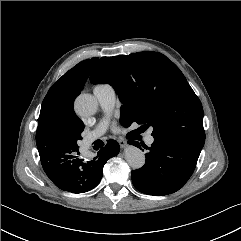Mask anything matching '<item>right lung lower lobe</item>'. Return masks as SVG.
<instances>
[{"label": "right lung lower lobe", "instance_id": "obj_1", "mask_svg": "<svg viewBox=\"0 0 241 241\" xmlns=\"http://www.w3.org/2000/svg\"><path fill=\"white\" fill-rule=\"evenodd\" d=\"M79 146L38 147L42 167L49 179L61 190L84 193L101 181L103 167L108 159L119 152V144L109 140L93 160L85 162L79 158Z\"/></svg>", "mask_w": 241, "mask_h": 241}]
</instances>
